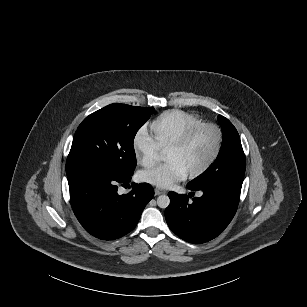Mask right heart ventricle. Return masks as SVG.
Listing matches in <instances>:
<instances>
[{
	"label": "right heart ventricle",
	"mask_w": 307,
	"mask_h": 307,
	"mask_svg": "<svg viewBox=\"0 0 307 307\" xmlns=\"http://www.w3.org/2000/svg\"><path fill=\"white\" fill-rule=\"evenodd\" d=\"M202 125V121L192 114L181 110H169L162 113L152 123V139L159 149H166L169 144L182 138L190 131Z\"/></svg>",
	"instance_id": "obj_1"
}]
</instances>
